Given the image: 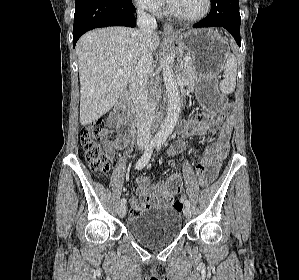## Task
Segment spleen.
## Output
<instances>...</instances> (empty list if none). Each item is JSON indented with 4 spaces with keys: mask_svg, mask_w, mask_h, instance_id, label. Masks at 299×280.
<instances>
[{
    "mask_svg": "<svg viewBox=\"0 0 299 280\" xmlns=\"http://www.w3.org/2000/svg\"><path fill=\"white\" fill-rule=\"evenodd\" d=\"M224 75L225 78L220 82L219 88L224 94H230L234 92L236 86L237 60L234 54H230L225 62Z\"/></svg>",
    "mask_w": 299,
    "mask_h": 280,
    "instance_id": "obj_1",
    "label": "spleen"
}]
</instances>
